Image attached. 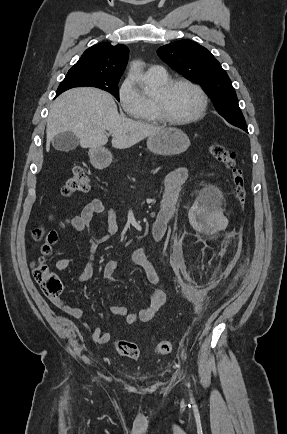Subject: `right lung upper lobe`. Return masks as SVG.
Here are the masks:
<instances>
[{"mask_svg":"<svg viewBox=\"0 0 287 434\" xmlns=\"http://www.w3.org/2000/svg\"><path fill=\"white\" fill-rule=\"evenodd\" d=\"M128 57L129 50L125 45L113 46L103 42L88 48L68 72L120 78L126 68Z\"/></svg>","mask_w":287,"mask_h":434,"instance_id":"1","label":"right lung upper lobe"}]
</instances>
